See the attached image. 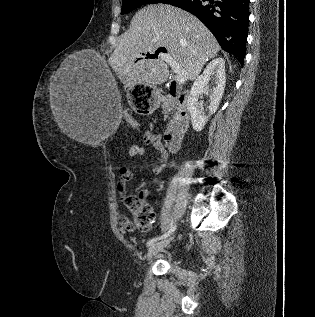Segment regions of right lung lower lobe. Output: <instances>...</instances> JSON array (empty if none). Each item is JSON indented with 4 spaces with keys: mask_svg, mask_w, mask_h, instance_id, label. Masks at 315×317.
<instances>
[{
    "mask_svg": "<svg viewBox=\"0 0 315 317\" xmlns=\"http://www.w3.org/2000/svg\"><path fill=\"white\" fill-rule=\"evenodd\" d=\"M173 6L199 18L221 48L243 65L249 24V0H178Z\"/></svg>",
    "mask_w": 315,
    "mask_h": 317,
    "instance_id": "right-lung-lower-lobe-1",
    "label": "right lung lower lobe"
}]
</instances>
